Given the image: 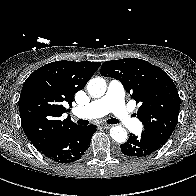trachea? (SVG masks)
<instances>
[{"label": "trachea", "instance_id": "3493384b", "mask_svg": "<svg viewBox=\"0 0 196 196\" xmlns=\"http://www.w3.org/2000/svg\"><path fill=\"white\" fill-rule=\"evenodd\" d=\"M77 123L80 124V125H87V124H89V121L88 120L79 119L77 121ZM107 123H109V124H117V123H119V121L117 119L111 118V119L107 120Z\"/></svg>", "mask_w": 196, "mask_h": 196}]
</instances>
